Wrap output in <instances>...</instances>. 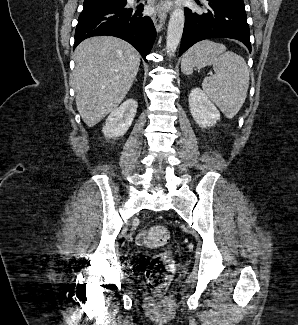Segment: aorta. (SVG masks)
Returning <instances> with one entry per match:
<instances>
[{"label": "aorta", "mask_w": 298, "mask_h": 325, "mask_svg": "<svg viewBox=\"0 0 298 325\" xmlns=\"http://www.w3.org/2000/svg\"><path fill=\"white\" fill-rule=\"evenodd\" d=\"M185 24V12L182 6H174L172 14H170L167 32H166V52L168 56H172L177 50L178 44L181 42Z\"/></svg>", "instance_id": "obj_1"}]
</instances>
